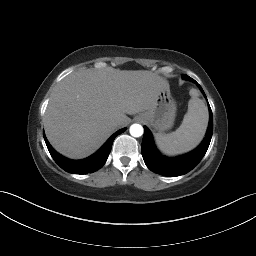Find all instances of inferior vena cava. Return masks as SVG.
<instances>
[{
	"instance_id": "602c4592",
	"label": "inferior vena cava",
	"mask_w": 256,
	"mask_h": 256,
	"mask_svg": "<svg viewBox=\"0 0 256 256\" xmlns=\"http://www.w3.org/2000/svg\"><path fill=\"white\" fill-rule=\"evenodd\" d=\"M113 127H114L115 129H120V128L122 127V122H121L120 120H115V121L113 122Z\"/></svg>"
}]
</instances>
